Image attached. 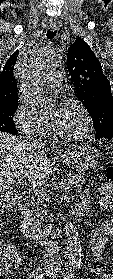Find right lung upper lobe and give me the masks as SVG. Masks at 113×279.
Returning <instances> with one entry per match:
<instances>
[{"label":"right lung upper lobe","mask_w":113,"mask_h":279,"mask_svg":"<svg viewBox=\"0 0 113 279\" xmlns=\"http://www.w3.org/2000/svg\"><path fill=\"white\" fill-rule=\"evenodd\" d=\"M18 53L16 51L10 56L0 74V109L17 105L18 102L17 83L12 72Z\"/></svg>","instance_id":"1"}]
</instances>
